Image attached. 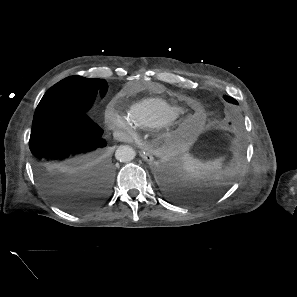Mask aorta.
Returning <instances> with one entry per match:
<instances>
[{"label":"aorta","mask_w":297,"mask_h":297,"mask_svg":"<svg viewBox=\"0 0 297 297\" xmlns=\"http://www.w3.org/2000/svg\"><path fill=\"white\" fill-rule=\"evenodd\" d=\"M135 154H136L135 150L132 147L128 145H124V146L118 147V149L116 150L115 156H116V159L119 160L120 162H130L135 158Z\"/></svg>","instance_id":"aorta-1"}]
</instances>
